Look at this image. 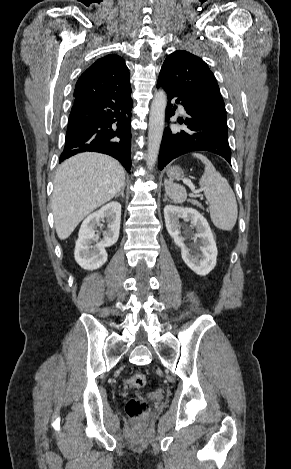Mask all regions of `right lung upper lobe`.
<instances>
[{
  "label": "right lung upper lobe",
  "mask_w": 291,
  "mask_h": 469,
  "mask_svg": "<svg viewBox=\"0 0 291 469\" xmlns=\"http://www.w3.org/2000/svg\"><path fill=\"white\" fill-rule=\"evenodd\" d=\"M108 91L123 95L131 93L129 70L124 60L115 54L98 59L80 76L74 90V102Z\"/></svg>",
  "instance_id": "right-lung-upper-lobe-1"
}]
</instances>
